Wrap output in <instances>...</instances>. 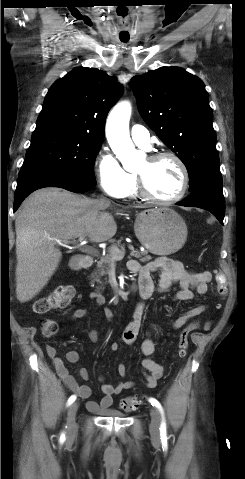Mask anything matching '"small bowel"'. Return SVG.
Segmentation results:
<instances>
[{
	"label": "small bowel",
	"mask_w": 245,
	"mask_h": 479,
	"mask_svg": "<svg viewBox=\"0 0 245 479\" xmlns=\"http://www.w3.org/2000/svg\"><path fill=\"white\" fill-rule=\"evenodd\" d=\"M130 271L138 273V288L139 294L142 299L139 302L132 314L130 322L124 328L121 334V341L125 344H133L143 325L145 304L144 301L151 299L158 293H164L173 285H178L179 289L175 292L173 299L176 301H192L195 294L204 296L208 293L209 283L212 279V275L209 271L191 272L187 271L180 261L173 260L166 257H158L147 263L141 264L137 260H131L128 263ZM154 273L158 274V282L156 283L152 277ZM91 300L97 305L102 306L106 303V297L101 292H92L90 294ZM206 310L205 305H198L186 312L182 313L173 322L174 329L182 328L188 321L196 318ZM106 315L111 316L110 310L106 308ZM87 314L86 308H77L71 315L72 320L80 319ZM209 325H206L208 328ZM90 337L93 341L98 339L97 334L94 331L90 332ZM141 352L145 356L142 360V368L144 372V385L147 388H154L157 385L159 379L162 378L165 367L156 362L151 356L155 352V343L152 338H147L141 343ZM112 351L119 349V343L113 342L110 345ZM46 353L51 358L54 370L58 377L65 383V385L80 398L86 399L91 395V389L86 385H79L74 377L69 373L68 369L64 365L63 360L58 356L56 347L52 345L46 346ZM66 359L70 363H76L79 360V353L76 350H70L66 353ZM118 374L121 377H125L127 374L126 367L123 363H119L117 366ZM79 375L82 379H89V372L86 368L81 367L79 369ZM102 382L101 390L103 396L100 401H88L87 408L92 412H99L111 407L113 398L115 395L120 394L123 391L130 390L135 386L133 381H121L115 385L104 382V379L100 377Z\"/></svg>",
	"instance_id": "small-bowel-1"
}]
</instances>
